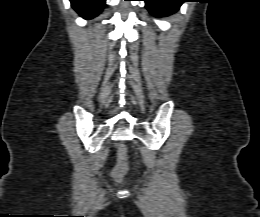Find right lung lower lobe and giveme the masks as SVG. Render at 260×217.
I'll return each instance as SVG.
<instances>
[{"label": "right lung lower lobe", "instance_id": "obj_1", "mask_svg": "<svg viewBox=\"0 0 260 217\" xmlns=\"http://www.w3.org/2000/svg\"><path fill=\"white\" fill-rule=\"evenodd\" d=\"M72 7L85 19L96 17L105 5V0H70Z\"/></svg>", "mask_w": 260, "mask_h": 217}]
</instances>
